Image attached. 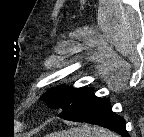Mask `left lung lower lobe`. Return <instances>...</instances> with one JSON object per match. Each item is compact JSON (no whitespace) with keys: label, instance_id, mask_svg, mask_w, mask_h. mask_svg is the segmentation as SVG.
<instances>
[{"label":"left lung lower lobe","instance_id":"0a47b994","mask_svg":"<svg viewBox=\"0 0 144 137\" xmlns=\"http://www.w3.org/2000/svg\"><path fill=\"white\" fill-rule=\"evenodd\" d=\"M65 120L96 124L129 137L125 120L112 112L109 101L96 97L91 89L85 90L72 104L58 115Z\"/></svg>","mask_w":144,"mask_h":137}]
</instances>
